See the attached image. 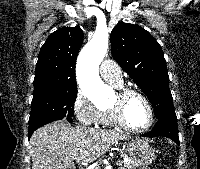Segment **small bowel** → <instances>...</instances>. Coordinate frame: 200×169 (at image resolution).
<instances>
[{
    "label": "small bowel",
    "mask_w": 200,
    "mask_h": 169,
    "mask_svg": "<svg viewBox=\"0 0 200 169\" xmlns=\"http://www.w3.org/2000/svg\"><path fill=\"white\" fill-rule=\"evenodd\" d=\"M141 169H150V168L144 167V168H141Z\"/></svg>",
    "instance_id": "obj_1"
}]
</instances>
